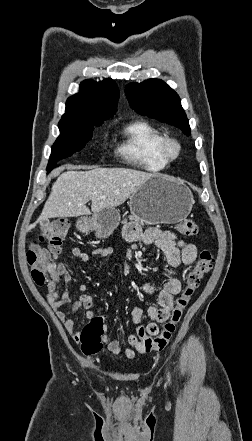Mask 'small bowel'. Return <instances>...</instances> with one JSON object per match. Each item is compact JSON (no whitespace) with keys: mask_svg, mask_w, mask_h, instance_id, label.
Listing matches in <instances>:
<instances>
[{"mask_svg":"<svg viewBox=\"0 0 252 441\" xmlns=\"http://www.w3.org/2000/svg\"><path fill=\"white\" fill-rule=\"evenodd\" d=\"M124 237L131 243L142 242L145 246L155 245L160 249L165 256L168 270L167 281L160 290H157L151 284H145L143 289L148 293L157 292L158 306H150L147 310L150 322L146 326V331L150 335H156L159 332V325L165 322L174 306V296L181 292V282L179 279L173 277L174 270L180 265L189 266L194 263L197 257V248L194 244L186 242L177 237V235L170 230H161L156 227H151L142 230L136 225H130L124 230ZM71 253L80 259L84 264H90V257L83 252L79 247H72ZM93 255L109 256L113 254V250L108 247L97 248L93 251ZM53 258L57 259L60 255V250L52 253ZM72 280L68 268L63 263L56 265L52 264L50 281L47 284L46 298L58 319L63 324L66 331L77 341L80 342L79 329H76L73 315L78 310H84L86 317L92 319L94 312L92 310L93 298L86 293L87 286L80 285V296L76 300H72L69 295L68 287ZM65 284V290L61 293V284ZM70 305L71 315H66L63 307ZM132 320L137 325L140 323L143 311L140 307L135 306L132 310ZM102 342L106 349L113 353L119 354L121 346L118 340L108 337L106 334L102 336ZM128 342L132 348L125 349V355L128 358H133L136 352H144V347L136 334H131L128 337Z\"/></svg>","mask_w":252,"mask_h":441,"instance_id":"1","label":"small bowel"}]
</instances>
